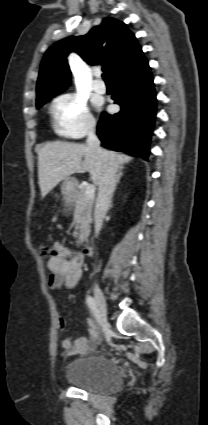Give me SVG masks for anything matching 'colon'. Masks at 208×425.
I'll return each mask as SVG.
<instances>
[{
  "label": "colon",
  "mask_w": 208,
  "mask_h": 425,
  "mask_svg": "<svg viewBox=\"0 0 208 425\" xmlns=\"http://www.w3.org/2000/svg\"><path fill=\"white\" fill-rule=\"evenodd\" d=\"M39 252L42 257H52L54 255V249L46 244L39 246Z\"/></svg>",
  "instance_id": "1"
}]
</instances>
